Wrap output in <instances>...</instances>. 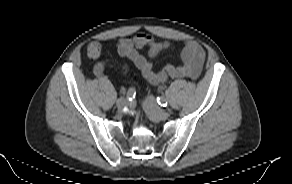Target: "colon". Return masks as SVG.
<instances>
[{"label": "colon", "instance_id": "colon-1", "mask_svg": "<svg viewBox=\"0 0 292 184\" xmlns=\"http://www.w3.org/2000/svg\"><path fill=\"white\" fill-rule=\"evenodd\" d=\"M102 54V46L98 42H92L87 49V55L91 60H97Z\"/></svg>", "mask_w": 292, "mask_h": 184}]
</instances>
